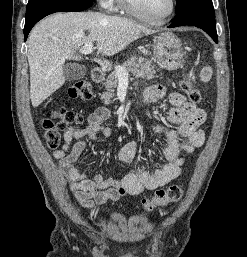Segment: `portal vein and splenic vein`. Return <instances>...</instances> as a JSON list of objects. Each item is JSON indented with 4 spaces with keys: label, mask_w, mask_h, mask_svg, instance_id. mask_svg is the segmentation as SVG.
Masks as SVG:
<instances>
[{
    "label": "portal vein and splenic vein",
    "mask_w": 247,
    "mask_h": 257,
    "mask_svg": "<svg viewBox=\"0 0 247 257\" xmlns=\"http://www.w3.org/2000/svg\"><path fill=\"white\" fill-rule=\"evenodd\" d=\"M82 54H91L93 52V43L87 42L81 49ZM115 72L119 80L128 81V72L120 65L115 66Z\"/></svg>",
    "instance_id": "obj_1"
}]
</instances>
